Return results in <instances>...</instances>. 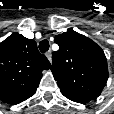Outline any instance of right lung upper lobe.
Masks as SVG:
<instances>
[{"instance_id": "cb5924a9", "label": "right lung upper lobe", "mask_w": 114, "mask_h": 114, "mask_svg": "<svg viewBox=\"0 0 114 114\" xmlns=\"http://www.w3.org/2000/svg\"><path fill=\"white\" fill-rule=\"evenodd\" d=\"M50 66L34 40L11 34L0 43V100L18 104L34 95L42 71Z\"/></svg>"}]
</instances>
